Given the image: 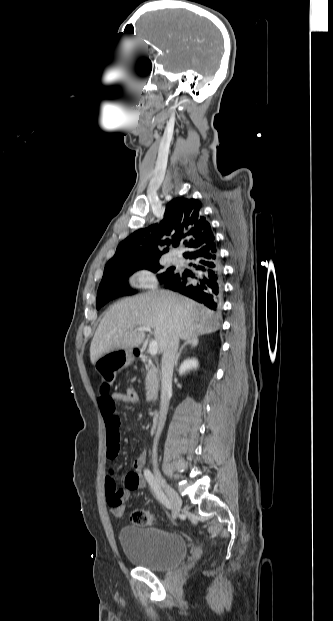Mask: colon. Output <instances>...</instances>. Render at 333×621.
Listing matches in <instances>:
<instances>
[{
	"label": "colon",
	"mask_w": 333,
	"mask_h": 621,
	"mask_svg": "<svg viewBox=\"0 0 333 621\" xmlns=\"http://www.w3.org/2000/svg\"><path fill=\"white\" fill-rule=\"evenodd\" d=\"M140 401V394L136 387L130 385L124 392H122V402L128 405H136ZM124 483L127 479L123 478ZM112 513L116 517H121L124 514V509L121 507H115L112 509ZM130 521L135 525H151L156 522V516L150 511L143 509L133 510L130 514Z\"/></svg>",
	"instance_id": "5ec220e1"
}]
</instances>
